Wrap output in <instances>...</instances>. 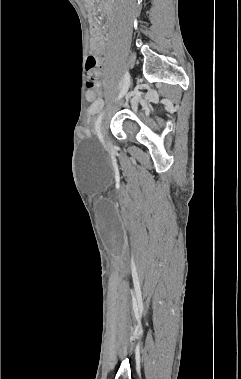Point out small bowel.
<instances>
[{
	"instance_id": "small-bowel-1",
	"label": "small bowel",
	"mask_w": 241,
	"mask_h": 379,
	"mask_svg": "<svg viewBox=\"0 0 241 379\" xmlns=\"http://www.w3.org/2000/svg\"><path fill=\"white\" fill-rule=\"evenodd\" d=\"M105 48V41L98 27L94 26L93 35L91 39V49L92 53L97 61L101 60L102 52ZM98 92L97 90L87 91V99L91 102H94L98 106L101 104V100L97 99Z\"/></svg>"
}]
</instances>
